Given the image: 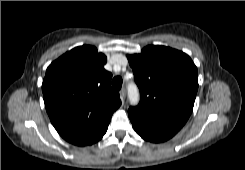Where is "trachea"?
<instances>
[{
	"label": "trachea",
	"instance_id": "trachea-1",
	"mask_svg": "<svg viewBox=\"0 0 245 170\" xmlns=\"http://www.w3.org/2000/svg\"><path fill=\"white\" fill-rule=\"evenodd\" d=\"M122 83H123L122 78L119 76L113 78L112 80V86L115 90H120L122 87Z\"/></svg>",
	"mask_w": 245,
	"mask_h": 170
}]
</instances>
